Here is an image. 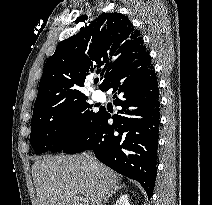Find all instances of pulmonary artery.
I'll list each match as a JSON object with an SVG mask.
<instances>
[{
	"mask_svg": "<svg viewBox=\"0 0 212 205\" xmlns=\"http://www.w3.org/2000/svg\"><path fill=\"white\" fill-rule=\"evenodd\" d=\"M93 96H94L95 100H97V101H101L104 99V94L98 90L93 93Z\"/></svg>",
	"mask_w": 212,
	"mask_h": 205,
	"instance_id": "obj_1",
	"label": "pulmonary artery"
}]
</instances>
